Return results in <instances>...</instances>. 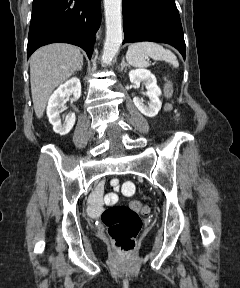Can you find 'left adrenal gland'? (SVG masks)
Segmentation results:
<instances>
[{"instance_id": "obj_1", "label": "left adrenal gland", "mask_w": 240, "mask_h": 288, "mask_svg": "<svg viewBox=\"0 0 240 288\" xmlns=\"http://www.w3.org/2000/svg\"><path fill=\"white\" fill-rule=\"evenodd\" d=\"M125 66H128V64L125 62V59L123 58L122 59V62H121V68H120V71H122L124 69Z\"/></svg>"}]
</instances>
